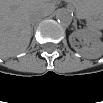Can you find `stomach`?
<instances>
[{
  "label": "stomach",
  "mask_w": 103,
  "mask_h": 103,
  "mask_svg": "<svg viewBox=\"0 0 103 103\" xmlns=\"http://www.w3.org/2000/svg\"><path fill=\"white\" fill-rule=\"evenodd\" d=\"M82 7H84L85 9H87L88 11L93 8L96 4L93 3H89V2H84L81 3Z\"/></svg>",
  "instance_id": "1"
}]
</instances>
